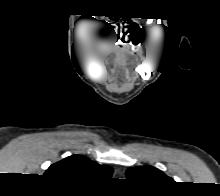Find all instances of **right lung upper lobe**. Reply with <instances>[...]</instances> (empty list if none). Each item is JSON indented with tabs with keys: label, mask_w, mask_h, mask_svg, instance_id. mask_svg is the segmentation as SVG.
I'll return each mask as SVG.
<instances>
[{
	"label": "right lung upper lobe",
	"mask_w": 220,
	"mask_h": 196,
	"mask_svg": "<svg viewBox=\"0 0 220 196\" xmlns=\"http://www.w3.org/2000/svg\"><path fill=\"white\" fill-rule=\"evenodd\" d=\"M112 172V168L107 165H99L84 156L73 155L51 165L44 175L72 184L95 185L110 179Z\"/></svg>",
	"instance_id": "obj_1"
}]
</instances>
